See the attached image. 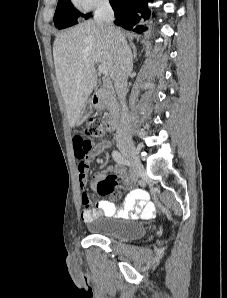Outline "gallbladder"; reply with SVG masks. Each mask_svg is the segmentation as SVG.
Wrapping results in <instances>:
<instances>
[{"mask_svg":"<svg viewBox=\"0 0 227 298\" xmlns=\"http://www.w3.org/2000/svg\"><path fill=\"white\" fill-rule=\"evenodd\" d=\"M92 104L90 101H87L86 104L84 105V108L81 112L80 118L78 120V124H82L92 113Z\"/></svg>","mask_w":227,"mask_h":298,"instance_id":"gallbladder-1","label":"gallbladder"}]
</instances>
